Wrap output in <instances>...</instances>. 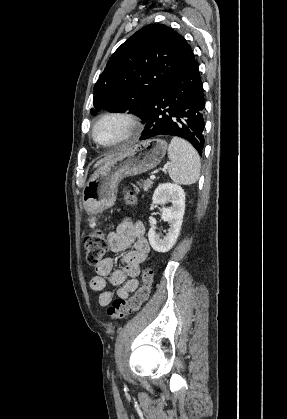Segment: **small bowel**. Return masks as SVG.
I'll use <instances>...</instances> for the list:
<instances>
[{
	"label": "small bowel",
	"mask_w": 287,
	"mask_h": 419,
	"mask_svg": "<svg viewBox=\"0 0 287 419\" xmlns=\"http://www.w3.org/2000/svg\"><path fill=\"white\" fill-rule=\"evenodd\" d=\"M112 252H125L124 267L113 268V260L105 259L95 267L97 275L91 280V288L100 292L99 303L106 306L114 297L126 299L139 286L138 275L141 264L146 260L150 246L145 237V226L141 221H124L107 237ZM133 245V249L128 250ZM107 283L117 286V290L107 288Z\"/></svg>",
	"instance_id": "c3829d8e"
}]
</instances>
